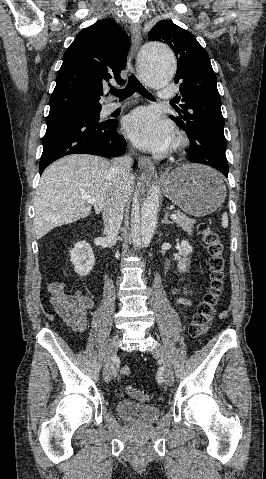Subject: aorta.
I'll return each mask as SVG.
<instances>
[{
    "mask_svg": "<svg viewBox=\"0 0 266 479\" xmlns=\"http://www.w3.org/2000/svg\"><path fill=\"white\" fill-rule=\"evenodd\" d=\"M140 71L149 86L161 88L173 78L176 70L171 49L160 42L145 44L139 51ZM159 187L143 181L138 189L132 216L131 237L134 246L150 242L154 235L159 210Z\"/></svg>",
    "mask_w": 266,
    "mask_h": 479,
    "instance_id": "aorta-1",
    "label": "aorta"
}]
</instances>
